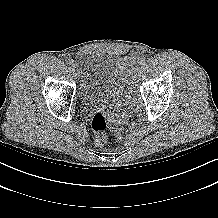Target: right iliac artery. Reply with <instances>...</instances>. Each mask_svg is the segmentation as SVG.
<instances>
[{
    "label": "right iliac artery",
    "mask_w": 218,
    "mask_h": 218,
    "mask_svg": "<svg viewBox=\"0 0 218 218\" xmlns=\"http://www.w3.org/2000/svg\"><path fill=\"white\" fill-rule=\"evenodd\" d=\"M74 63L73 59L69 58L67 59V64L68 65H72Z\"/></svg>",
    "instance_id": "obj_1"
}]
</instances>
